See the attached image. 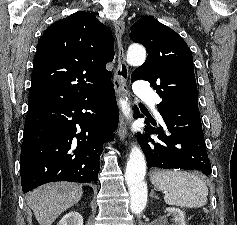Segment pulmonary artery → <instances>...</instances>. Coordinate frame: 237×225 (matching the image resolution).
<instances>
[{"label": "pulmonary artery", "mask_w": 237, "mask_h": 225, "mask_svg": "<svg viewBox=\"0 0 237 225\" xmlns=\"http://www.w3.org/2000/svg\"><path fill=\"white\" fill-rule=\"evenodd\" d=\"M134 93L151 105H155L160 101V98L151 91L150 87L145 82L137 83L134 87Z\"/></svg>", "instance_id": "1"}]
</instances>
